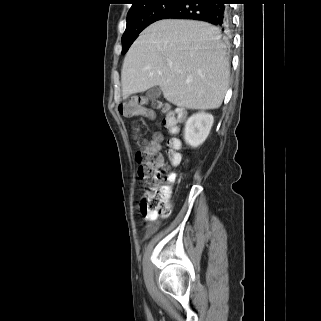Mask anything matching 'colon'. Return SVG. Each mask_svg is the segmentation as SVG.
Instances as JSON below:
<instances>
[{
	"mask_svg": "<svg viewBox=\"0 0 321 321\" xmlns=\"http://www.w3.org/2000/svg\"><path fill=\"white\" fill-rule=\"evenodd\" d=\"M154 107L163 116V125L171 132H176L178 124L183 120L184 113L174 109L171 105L156 101ZM120 112L127 117L150 116L151 112L146 107V102L140 97H133L120 105ZM167 157L172 164H179L180 142L177 139L169 141ZM138 175L145 181L146 191L139 205V211L147 217H167L172 211L171 191L163 184V175L166 169L164 160L158 152L157 143H146L136 154Z\"/></svg>",
	"mask_w": 321,
	"mask_h": 321,
	"instance_id": "obj_1",
	"label": "colon"
}]
</instances>
